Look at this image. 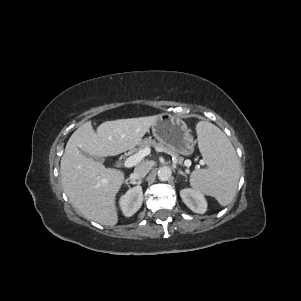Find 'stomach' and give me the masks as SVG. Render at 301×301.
Listing matches in <instances>:
<instances>
[{"label": "stomach", "instance_id": "1", "mask_svg": "<svg viewBox=\"0 0 301 301\" xmlns=\"http://www.w3.org/2000/svg\"><path fill=\"white\" fill-rule=\"evenodd\" d=\"M153 136L177 154L189 156L195 150V140L186 123L170 114H160L152 124Z\"/></svg>", "mask_w": 301, "mask_h": 301}]
</instances>
